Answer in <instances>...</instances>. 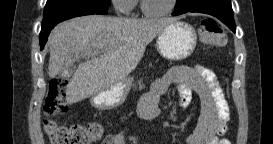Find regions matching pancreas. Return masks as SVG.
<instances>
[{"label":"pancreas","instance_id":"obj_1","mask_svg":"<svg viewBox=\"0 0 273 144\" xmlns=\"http://www.w3.org/2000/svg\"><path fill=\"white\" fill-rule=\"evenodd\" d=\"M138 85H139V89H142L144 87V85L142 84V79L138 80ZM131 86L136 89V84H133V85L131 84Z\"/></svg>","mask_w":273,"mask_h":144}]
</instances>
